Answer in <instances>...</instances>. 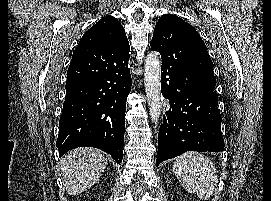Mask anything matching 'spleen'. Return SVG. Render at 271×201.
<instances>
[{"mask_svg":"<svg viewBox=\"0 0 271 201\" xmlns=\"http://www.w3.org/2000/svg\"><path fill=\"white\" fill-rule=\"evenodd\" d=\"M173 172L183 188L206 201L211 198L218 184V176L212 161L202 153L189 151L177 157Z\"/></svg>","mask_w":271,"mask_h":201,"instance_id":"1","label":"spleen"}]
</instances>
